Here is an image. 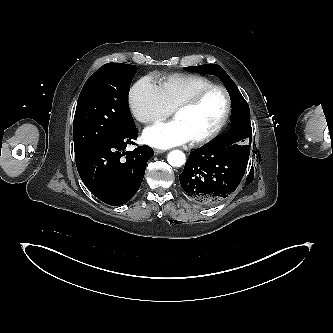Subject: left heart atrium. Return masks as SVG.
<instances>
[{
  "mask_svg": "<svg viewBox=\"0 0 333 333\" xmlns=\"http://www.w3.org/2000/svg\"><path fill=\"white\" fill-rule=\"evenodd\" d=\"M143 140L156 148L167 149L190 141V137L177 121L157 123L147 127L143 132Z\"/></svg>",
  "mask_w": 333,
  "mask_h": 333,
  "instance_id": "1",
  "label": "left heart atrium"
}]
</instances>
